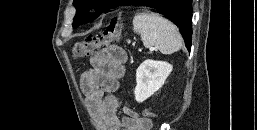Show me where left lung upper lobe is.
Masks as SVG:
<instances>
[{
  "mask_svg": "<svg viewBox=\"0 0 257 130\" xmlns=\"http://www.w3.org/2000/svg\"><path fill=\"white\" fill-rule=\"evenodd\" d=\"M135 1L137 0H74L73 5L77 11L73 20V27L77 28L79 25L95 19V16L88 13V10L96 8L99 12H106L126 3L135 4Z\"/></svg>",
  "mask_w": 257,
  "mask_h": 130,
  "instance_id": "5c2ea615",
  "label": "left lung upper lobe"
}]
</instances>
